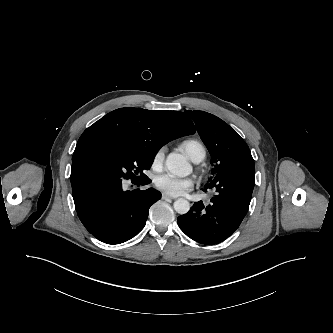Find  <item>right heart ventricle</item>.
<instances>
[{"mask_svg": "<svg viewBox=\"0 0 333 333\" xmlns=\"http://www.w3.org/2000/svg\"><path fill=\"white\" fill-rule=\"evenodd\" d=\"M180 147L189 159L194 162H200L206 156V148L199 140L192 138L185 139L180 143Z\"/></svg>", "mask_w": 333, "mask_h": 333, "instance_id": "right-heart-ventricle-1", "label": "right heart ventricle"}]
</instances>
